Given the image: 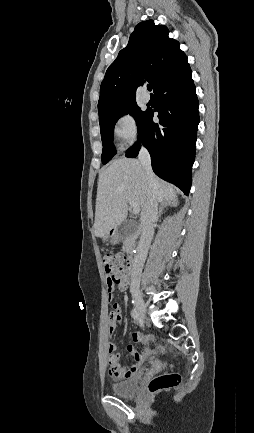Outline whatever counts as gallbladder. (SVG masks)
Returning a JSON list of instances; mask_svg holds the SVG:
<instances>
[{"label": "gallbladder", "mask_w": 254, "mask_h": 433, "mask_svg": "<svg viewBox=\"0 0 254 433\" xmlns=\"http://www.w3.org/2000/svg\"><path fill=\"white\" fill-rule=\"evenodd\" d=\"M137 230L136 224L133 221H124L122 222L117 230L115 235L111 238V244H116L119 241H122L126 237L133 235Z\"/></svg>", "instance_id": "gallbladder-1"}]
</instances>
